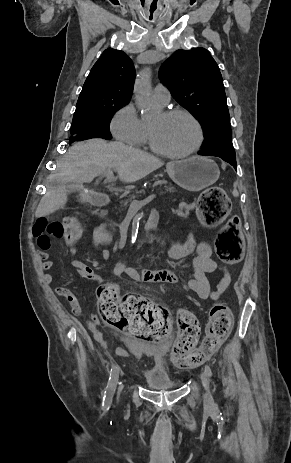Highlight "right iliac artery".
Listing matches in <instances>:
<instances>
[{
    "label": "right iliac artery",
    "instance_id": "obj_1",
    "mask_svg": "<svg viewBox=\"0 0 291 463\" xmlns=\"http://www.w3.org/2000/svg\"><path fill=\"white\" fill-rule=\"evenodd\" d=\"M118 381V369L113 367L110 372L109 381L105 390V395L103 397L102 410L106 412L110 408L112 402V396L115 390V386Z\"/></svg>",
    "mask_w": 291,
    "mask_h": 463
}]
</instances>
